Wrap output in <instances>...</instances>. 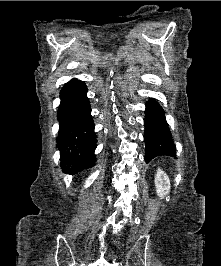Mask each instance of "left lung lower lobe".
<instances>
[{
    "instance_id": "obj_1",
    "label": "left lung lower lobe",
    "mask_w": 221,
    "mask_h": 266,
    "mask_svg": "<svg viewBox=\"0 0 221 266\" xmlns=\"http://www.w3.org/2000/svg\"><path fill=\"white\" fill-rule=\"evenodd\" d=\"M145 162L160 155H176L175 145L162 107L155 99L145 109Z\"/></svg>"
}]
</instances>
